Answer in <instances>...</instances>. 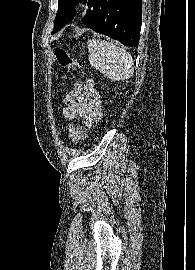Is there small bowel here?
I'll list each match as a JSON object with an SVG mask.
<instances>
[{
	"instance_id": "1",
	"label": "small bowel",
	"mask_w": 195,
	"mask_h": 270,
	"mask_svg": "<svg viewBox=\"0 0 195 270\" xmlns=\"http://www.w3.org/2000/svg\"><path fill=\"white\" fill-rule=\"evenodd\" d=\"M63 115L68 119L83 118L89 125L100 120L102 116L101 97L91 79L81 85L80 96L63 109ZM73 125H70V136L75 141Z\"/></svg>"
}]
</instances>
